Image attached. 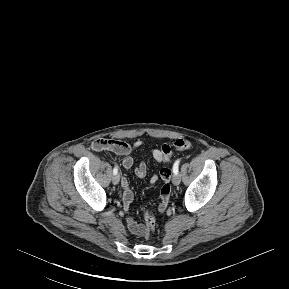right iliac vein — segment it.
<instances>
[{"label": "right iliac vein", "mask_w": 289, "mask_h": 289, "mask_svg": "<svg viewBox=\"0 0 289 289\" xmlns=\"http://www.w3.org/2000/svg\"><path fill=\"white\" fill-rule=\"evenodd\" d=\"M120 181V176L119 174H115L113 177H112V183L117 185Z\"/></svg>", "instance_id": "63e3f726"}]
</instances>
